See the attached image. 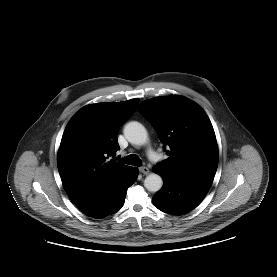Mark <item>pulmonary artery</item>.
<instances>
[{
    "label": "pulmonary artery",
    "instance_id": "1",
    "mask_svg": "<svg viewBox=\"0 0 277 277\" xmlns=\"http://www.w3.org/2000/svg\"><path fill=\"white\" fill-rule=\"evenodd\" d=\"M149 156H150V158H152V159H155V157H156V156H155V153H153V152H151V151L149 152Z\"/></svg>",
    "mask_w": 277,
    "mask_h": 277
}]
</instances>
